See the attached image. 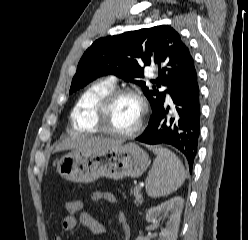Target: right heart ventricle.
Segmentation results:
<instances>
[{"label": "right heart ventricle", "mask_w": 248, "mask_h": 240, "mask_svg": "<svg viewBox=\"0 0 248 240\" xmlns=\"http://www.w3.org/2000/svg\"><path fill=\"white\" fill-rule=\"evenodd\" d=\"M114 88L110 80H100L86 88L78 97L70 114L71 129L78 133H96L94 110L100 99Z\"/></svg>", "instance_id": "1"}]
</instances>
